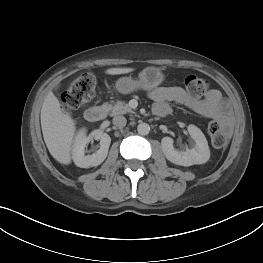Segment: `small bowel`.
<instances>
[{
    "mask_svg": "<svg viewBox=\"0 0 263 263\" xmlns=\"http://www.w3.org/2000/svg\"><path fill=\"white\" fill-rule=\"evenodd\" d=\"M149 98L153 101V111L161 116L163 112H170V103L175 102L208 118L220 122L228 130L230 127L229 109L220 91L210 90L203 99H195L189 96L181 87H158L149 92Z\"/></svg>",
    "mask_w": 263,
    "mask_h": 263,
    "instance_id": "obj_1",
    "label": "small bowel"
}]
</instances>
